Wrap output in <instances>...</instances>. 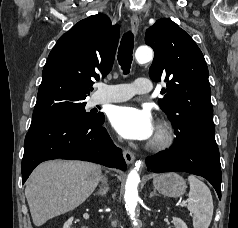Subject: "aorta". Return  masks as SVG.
I'll list each match as a JSON object with an SVG mask.
<instances>
[{
    "label": "aorta",
    "instance_id": "762f6f07",
    "mask_svg": "<svg viewBox=\"0 0 238 228\" xmlns=\"http://www.w3.org/2000/svg\"><path fill=\"white\" fill-rule=\"evenodd\" d=\"M135 57L138 63L144 64L153 59V51L150 47H139L135 52ZM139 163H136L135 167L128 174L125 184V206L128 210L130 217L135 221V209L138 202V184L140 182V176L138 173Z\"/></svg>",
    "mask_w": 238,
    "mask_h": 228
}]
</instances>
